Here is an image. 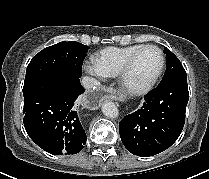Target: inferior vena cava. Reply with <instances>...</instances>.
Masks as SVG:
<instances>
[{
	"instance_id": "inferior-vena-cava-1",
	"label": "inferior vena cava",
	"mask_w": 209,
	"mask_h": 179,
	"mask_svg": "<svg viewBox=\"0 0 209 179\" xmlns=\"http://www.w3.org/2000/svg\"><path fill=\"white\" fill-rule=\"evenodd\" d=\"M81 82L83 87L86 89H90L99 85V82L96 79L88 76L83 77Z\"/></svg>"
}]
</instances>
